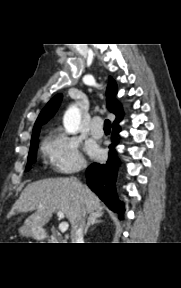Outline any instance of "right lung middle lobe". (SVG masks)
I'll return each instance as SVG.
<instances>
[{
	"label": "right lung middle lobe",
	"instance_id": "right-lung-middle-lobe-1",
	"mask_svg": "<svg viewBox=\"0 0 181 288\" xmlns=\"http://www.w3.org/2000/svg\"><path fill=\"white\" fill-rule=\"evenodd\" d=\"M37 148H38V139L31 142L26 171L30 170L31 165L35 162Z\"/></svg>",
	"mask_w": 181,
	"mask_h": 288
}]
</instances>
